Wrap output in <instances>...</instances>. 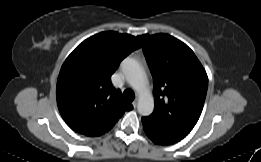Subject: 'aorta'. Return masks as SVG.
Here are the masks:
<instances>
[{
  "label": "aorta",
  "mask_w": 261,
  "mask_h": 162,
  "mask_svg": "<svg viewBox=\"0 0 261 162\" xmlns=\"http://www.w3.org/2000/svg\"><path fill=\"white\" fill-rule=\"evenodd\" d=\"M121 71L128 84L139 94L138 113L142 116L150 115L154 109V100L146 87L144 73L139 63L133 58H126L121 63Z\"/></svg>",
  "instance_id": "1"
}]
</instances>
